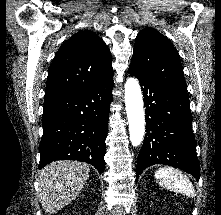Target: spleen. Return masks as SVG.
<instances>
[{
  "label": "spleen",
  "mask_w": 221,
  "mask_h": 215,
  "mask_svg": "<svg viewBox=\"0 0 221 215\" xmlns=\"http://www.w3.org/2000/svg\"><path fill=\"white\" fill-rule=\"evenodd\" d=\"M155 178L158 184L164 188L184 194L187 197L196 196L191 181L177 169L171 167L159 168L155 172Z\"/></svg>",
  "instance_id": "spleen-1"
}]
</instances>
